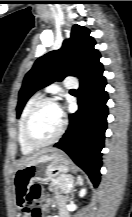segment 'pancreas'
Listing matches in <instances>:
<instances>
[{"label":"pancreas","mask_w":132,"mask_h":217,"mask_svg":"<svg viewBox=\"0 0 132 217\" xmlns=\"http://www.w3.org/2000/svg\"><path fill=\"white\" fill-rule=\"evenodd\" d=\"M73 182V177L71 175L61 174L57 178L53 179L50 184V191L54 189H59L60 192L67 194L71 191V187L68 184ZM52 187L54 189H52Z\"/></svg>","instance_id":"1"}]
</instances>
